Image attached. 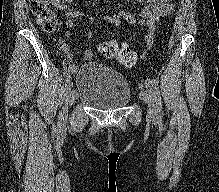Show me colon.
<instances>
[{
	"label": "colon",
	"instance_id": "1",
	"mask_svg": "<svg viewBox=\"0 0 219 192\" xmlns=\"http://www.w3.org/2000/svg\"><path fill=\"white\" fill-rule=\"evenodd\" d=\"M32 15L45 32H53L57 27V18L50 6V0H32ZM99 52L107 58H113L126 67L134 66L138 61L137 53L127 46L120 47L115 41H106L99 45Z\"/></svg>",
	"mask_w": 219,
	"mask_h": 192
}]
</instances>
